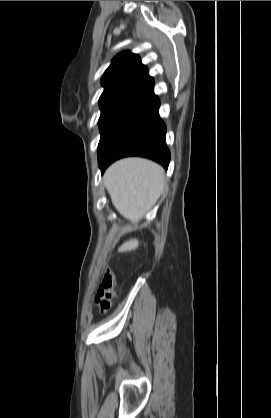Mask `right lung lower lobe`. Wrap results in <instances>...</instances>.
Instances as JSON below:
<instances>
[{
    "label": "right lung lower lobe",
    "mask_w": 271,
    "mask_h": 418,
    "mask_svg": "<svg viewBox=\"0 0 271 418\" xmlns=\"http://www.w3.org/2000/svg\"><path fill=\"white\" fill-rule=\"evenodd\" d=\"M159 105L126 127L98 156L102 173L112 162L126 156L146 157L168 168L170 151L166 146V126L158 113Z\"/></svg>",
    "instance_id": "obj_1"
}]
</instances>
